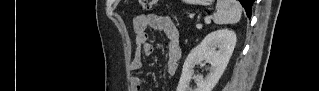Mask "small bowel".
<instances>
[{
  "instance_id": "c3829d8e",
  "label": "small bowel",
  "mask_w": 319,
  "mask_h": 91,
  "mask_svg": "<svg viewBox=\"0 0 319 91\" xmlns=\"http://www.w3.org/2000/svg\"><path fill=\"white\" fill-rule=\"evenodd\" d=\"M133 27L136 34L137 50L130 65L131 70H139L142 66L143 56L153 54L154 46L147 33L148 29H152L164 33L168 39L166 70L169 74H174L181 58V36L171 18L167 15L140 13L135 16ZM131 83L133 91H149L146 87V80L142 77L132 76Z\"/></svg>"
}]
</instances>
